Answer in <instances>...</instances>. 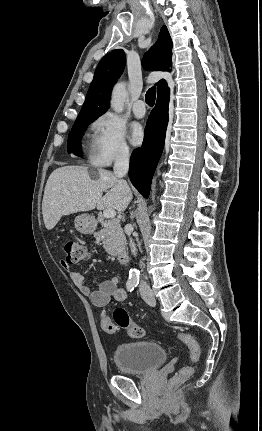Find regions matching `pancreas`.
<instances>
[{
  "label": "pancreas",
  "instance_id": "cf45deb5",
  "mask_svg": "<svg viewBox=\"0 0 262 431\" xmlns=\"http://www.w3.org/2000/svg\"><path fill=\"white\" fill-rule=\"evenodd\" d=\"M103 229L94 236L101 239L104 249L111 255H118L125 250L126 239L118 219L100 220Z\"/></svg>",
  "mask_w": 262,
  "mask_h": 431
}]
</instances>
